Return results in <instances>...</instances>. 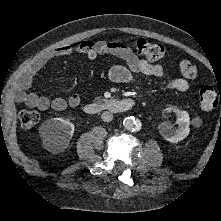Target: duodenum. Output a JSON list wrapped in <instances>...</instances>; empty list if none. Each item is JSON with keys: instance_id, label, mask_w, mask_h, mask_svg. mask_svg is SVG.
Instances as JSON below:
<instances>
[{"instance_id": "obj_1", "label": "duodenum", "mask_w": 221, "mask_h": 221, "mask_svg": "<svg viewBox=\"0 0 221 221\" xmlns=\"http://www.w3.org/2000/svg\"><path fill=\"white\" fill-rule=\"evenodd\" d=\"M135 104L133 99H109L97 103H89L85 105L84 111L88 114H98L104 111L111 113H120L131 109Z\"/></svg>"}]
</instances>
